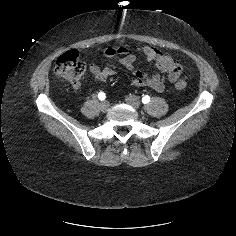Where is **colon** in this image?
Listing matches in <instances>:
<instances>
[{
  "label": "colon",
  "instance_id": "colon-1",
  "mask_svg": "<svg viewBox=\"0 0 236 236\" xmlns=\"http://www.w3.org/2000/svg\"><path fill=\"white\" fill-rule=\"evenodd\" d=\"M54 71L60 78L68 81L73 86H78L86 71V64L80 60L77 51L71 50L56 59ZM186 86L187 82L185 80H180L175 84V88L178 90H182Z\"/></svg>",
  "mask_w": 236,
  "mask_h": 236
}]
</instances>
